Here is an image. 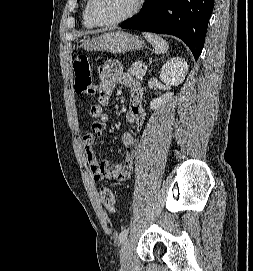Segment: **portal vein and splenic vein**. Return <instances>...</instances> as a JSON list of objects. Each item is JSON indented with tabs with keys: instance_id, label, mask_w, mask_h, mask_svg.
<instances>
[{
	"instance_id": "portal-vein-and-splenic-vein-1",
	"label": "portal vein and splenic vein",
	"mask_w": 253,
	"mask_h": 271,
	"mask_svg": "<svg viewBox=\"0 0 253 271\" xmlns=\"http://www.w3.org/2000/svg\"><path fill=\"white\" fill-rule=\"evenodd\" d=\"M138 65H139V66H142V62H138Z\"/></svg>"
}]
</instances>
